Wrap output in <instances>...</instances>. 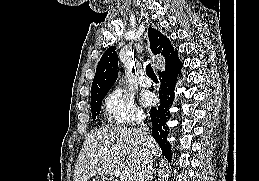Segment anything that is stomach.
Masks as SVG:
<instances>
[{
	"mask_svg": "<svg viewBox=\"0 0 259 181\" xmlns=\"http://www.w3.org/2000/svg\"><path fill=\"white\" fill-rule=\"evenodd\" d=\"M97 181H107V179H105L104 177L99 178Z\"/></svg>",
	"mask_w": 259,
	"mask_h": 181,
	"instance_id": "stomach-1",
	"label": "stomach"
}]
</instances>
